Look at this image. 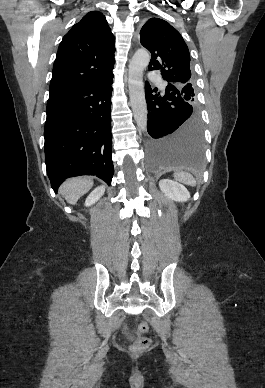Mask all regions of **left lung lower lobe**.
Here are the masks:
<instances>
[{
    "label": "left lung lower lobe",
    "instance_id": "1",
    "mask_svg": "<svg viewBox=\"0 0 265 388\" xmlns=\"http://www.w3.org/2000/svg\"><path fill=\"white\" fill-rule=\"evenodd\" d=\"M148 107V159L154 168L199 170L203 163V128L196 107L184 101L176 87L152 94L145 83ZM157 92L158 89L154 88Z\"/></svg>",
    "mask_w": 265,
    "mask_h": 388
}]
</instances>
